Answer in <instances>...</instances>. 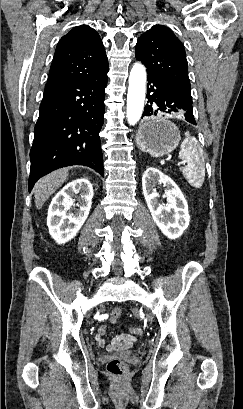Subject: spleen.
Wrapping results in <instances>:
<instances>
[{
  "instance_id": "obj_1",
  "label": "spleen",
  "mask_w": 243,
  "mask_h": 409,
  "mask_svg": "<svg viewBox=\"0 0 243 409\" xmlns=\"http://www.w3.org/2000/svg\"><path fill=\"white\" fill-rule=\"evenodd\" d=\"M185 137L180 147L179 157L187 165L181 167L180 170L192 187L200 188L205 178L204 159L201 156L197 139L192 137L188 131L185 132Z\"/></svg>"
}]
</instances>
